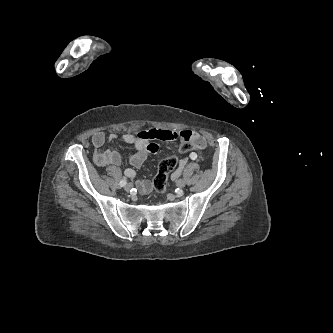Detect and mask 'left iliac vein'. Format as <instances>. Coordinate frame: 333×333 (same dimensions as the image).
Segmentation results:
<instances>
[{
    "instance_id": "left-iliac-vein-1",
    "label": "left iliac vein",
    "mask_w": 333,
    "mask_h": 333,
    "mask_svg": "<svg viewBox=\"0 0 333 333\" xmlns=\"http://www.w3.org/2000/svg\"><path fill=\"white\" fill-rule=\"evenodd\" d=\"M185 180L184 179H178L176 181V186L179 187V188H183L185 186Z\"/></svg>"
}]
</instances>
